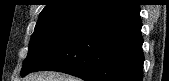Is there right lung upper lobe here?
Returning <instances> with one entry per match:
<instances>
[{
	"mask_svg": "<svg viewBox=\"0 0 169 81\" xmlns=\"http://www.w3.org/2000/svg\"><path fill=\"white\" fill-rule=\"evenodd\" d=\"M126 0H48L39 19L77 16L90 20Z\"/></svg>",
	"mask_w": 169,
	"mask_h": 81,
	"instance_id": "obj_1",
	"label": "right lung upper lobe"
}]
</instances>
